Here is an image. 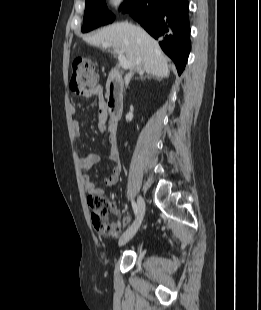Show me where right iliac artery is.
Returning a JSON list of instances; mask_svg holds the SVG:
<instances>
[{"instance_id":"right-iliac-artery-1","label":"right iliac artery","mask_w":261,"mask_h":310,"mask_svg":"<svg viewBox=\"0 0 261 310\" xmlns=\"http://www.w3.org/2000/svg\"><path fill=\"white\" fill-rule=\"evenodd\" d=\"M132 208H133L134 214L137 215L138 214V206L134 201H132Z\"/></svg>"}]
</instances>
